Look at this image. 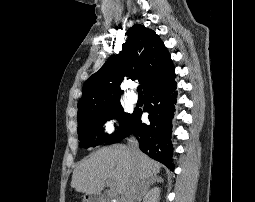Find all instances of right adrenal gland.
Wrapping results in <instances>:
<instances>
[{
  "mask_svg": "<svg viewBox=\"0 0 255 202\" xmlns=\"http://www.w3.org/2000/svg\"><path fill=\"white\" fill-rule=\"evenodd\" d=\"M145 182H146V190L141 197H138L137 202H140L143 199V197L147 194V192L149 191V189L152 185H154L156 183H161L162 178L158 177L157 175H154V176L146 179Z\"/></svg>",
  "mask_w": 255,
  "mask_h": 202,
  "instance_id": "obj_1",
  "label": "right adrenal gland"
}]
</instances>
